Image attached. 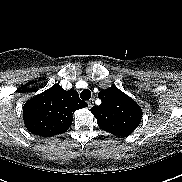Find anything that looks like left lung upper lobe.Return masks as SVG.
I'll use <instances>...</instances> for the list:
<instances>
[{"label": "left lung upper lobe", "instance_id": "obj_1", "mask_svg": "<svg viewBox=\"0 0 182 182\" xmlns=\"http://www.w3.org/2000/svg\"><path fill=\"white\" fill-rule=\"evenodd\" d=\"M98 97L102 103L91 108L99 127L113 135L127 137L140 124L142 109L115 85L101 90Z\"/></svg>", "mask_w": 182, "mask_h": 182}]
</instances>
